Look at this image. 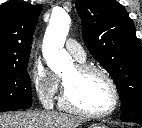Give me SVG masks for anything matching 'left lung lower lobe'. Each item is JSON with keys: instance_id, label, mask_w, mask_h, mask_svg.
Here are the masks:
<instances>
[{"instance_id": "1", "label": "left lung lower lobe", "mask_w": 142, "mask_h": 128, "mask_svg": "<svg viewBox=\"0 0 142 128\" xmlns=\"http://www.w3.org/2000/svg\"><path fill=\"white\" fill-rule=\"evenodd\" d=\"M129 122H135V123L142 125V122H140V121H129Z\"/></svg>"}]
</instances>
